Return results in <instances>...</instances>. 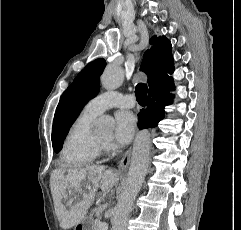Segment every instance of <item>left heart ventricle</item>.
<instances>
[{"instance_id": "1", "label": "left heart ventricle", "mask_w": 241, "mask_h": 230, "mask_svg": "<svg viewBox=\"0 0 241 230\" xmlns=\"http://www.w3.org/2000/svg\"><path fill=\"white\" fill-rule=\"evenodd\" d=\"M96 137H97L99 140L104 141V142L109 139V137L104 136V135H96Z\"/></svg>"}]
</instances>
